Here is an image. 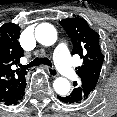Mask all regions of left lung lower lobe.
<instances>
[{
    "label": "left lung lower lobe",
    "instance_id": "0a47b994",
    "mask_svg": "<svg viewBox=\"0 0 117 117\" xmlns=\"http://www.w3.org/2000/svg\"><path fill=\"white\" fill-rule=\"evenodd\" d=\"M57 98L65 104H80L85 101L83 95L76 90H73L72 93L67 96H57Z\"/></svg>",
    "mask_w": 117,
    "mask_h": 117
}]
</instances>
